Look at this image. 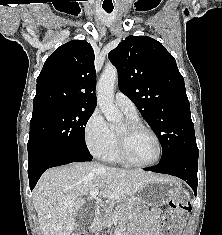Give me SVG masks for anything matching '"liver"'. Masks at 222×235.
Instances as JSON below:
<instances>
[{
    "mask_svg": "<svg viewBox=\"0 0 222 235\" xmlns=\"http://www.w3.org/2000/svg\"><path fill=\"white\" fill-rule=\"evenodd\" d=\"M158 178L138 170H123L97 162L74 163L43 173L33 191V205L43 235H71L83 196L100 189L104 198L125 201Z\"/></svg>",
    "mask_w": 222,
    "mask_h": 235,
    "instance_id": "liver-1",
    "label": "liver"
}]
</instances>
